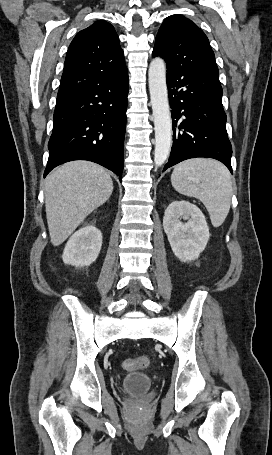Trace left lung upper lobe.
<instances>
[{"label":"left lung upper lobe","mask_w":272,"mask_h":455,"mask_svg":"<svg viewBox=\"0 0 272 455\" xmlns=\"http://www.w3.org/2000/svg\"><path fill=\"white\" fill-rule=\"evenodd\" d=\"M153 55L165 60L167 71L193 69L219 74L207 36L194 22L181 15L169 16L162 23Z\"/></svg>","instance_id":"left-lung-upper-lobe-1"}]
</instances>
